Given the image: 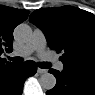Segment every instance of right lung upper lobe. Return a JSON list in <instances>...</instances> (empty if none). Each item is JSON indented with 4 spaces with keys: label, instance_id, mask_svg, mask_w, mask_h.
I'll use <instances>...</instances> for the list:
<instances>
[{
    "label": "right lung upper lobe",
    "instance_id": "1",
    "mask_svg": "<svg viewBox=\"0 0 95 95\" xmlns=\"http://www.w3.org/2000/svg\"><path fill=\"white\" fill-rule=\"evenodd\" d=\"M28 14L27 10L0 5V55L4 50L12 51L13 30L28 18ZM14 65L16 64L5 62V59L0 58V73Z\"/></svg>",
    "mask_w": 95,
    "mask_h": 95
}]
</instances>
